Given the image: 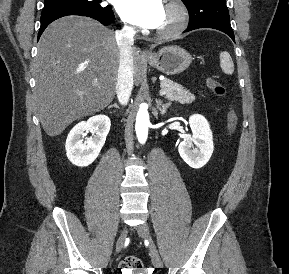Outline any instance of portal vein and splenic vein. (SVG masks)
Segmentation results:
<instances>
[{
    "label": "portal vein and splenic vein",
    "mask_w": 289,
    "mask_h": 274,
    "mask_svg": "<svg viewBox=\"0 0 289 274\" xmlns=\"http://www.w3.org/2000/svg\"><path fill=\"white\" fill-rule=\"evenodd\" d=\"M159 93H160V95H161V96H163V95H165V94H166V91H164V90H160V92H159Z\"/></svg>",
    "instance_id": "1"
}]
</instances>
